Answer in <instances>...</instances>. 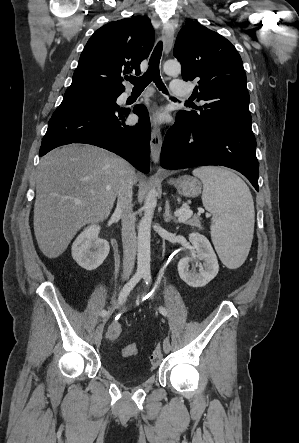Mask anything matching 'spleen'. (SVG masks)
<instances>
[{
	"mask_svg": "<svg viewBox=\"0 0 299 443\" xmlns=\"http://www.w3.org/2000/svg\"><path fill=\"white\" fill-rule=\"evenodd\" d=\"M193 175L203 183L202 201L213 215L211 238L229 269L240 267L250 250L254 231V202L249 188L232 171L200 167Z\"/></svg>",
	"mask_w": 299,
	"mask_h": 443,
	"instance_id": "3e777b00",
	"label": "spleen"
}]
</instances>
